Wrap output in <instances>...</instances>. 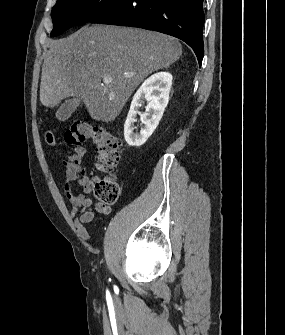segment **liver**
<instances>
[{"label":"liver","instance_id":"obj_1","mask_svg":"<svg viewBox=\"0 0 285 335\" xmlns=\"http://www.w3.org/2000/svg\"><path fill=\"white\" fill-rule=\"evenodd\" d=\"M47 48L42 106L55 108L66 98H77L97 122H113L147 76L168 68L182 54L181 44L171 36L103 24H87L68 38L49 40ZM104 76L112 82L103 84Z\"/></svg>","mask_w":285,"mask_h":335}]
</instances>
